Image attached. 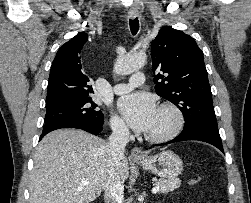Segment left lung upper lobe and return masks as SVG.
<instances>
[{
    "mask_svg": "<svg viewBox=\"0 0 251 203\" xmlns=\"http://www.w3.org/2000/svg\"><path fill=\"white\" fill-rule=\"evenodd\" d=\"M156 93L183 113V130L198 125L217 128L203 53L195 40L172 27L160 29L151 43Z\"/></svg>",
    "mask_w": 251,
    "mask_h": 203,
    "instance_id": "1",
    "label": "left lung upper lobe"
}]
</instances>
